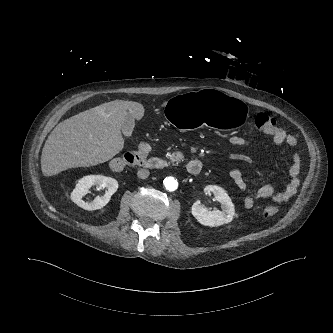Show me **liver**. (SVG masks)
Here are the masks:
<instances>
[{"mask_svg":"<svg viewBox=\"0 0 333 333\" xmlns=\"http://www.w3.org/2000/svg\"><path fill=\"white\" fill-rule=\"evenodd\" d=\"M128 113L140 120L144 116V107L134 101L114 100L59 123L42 150L41 170L44 176L112 159L124 147L121 125Z\"/></svg>","mask_w":333,"mask_h":333,"instance_id":"liver-1","label":"liver"}]
</instances>
